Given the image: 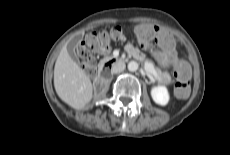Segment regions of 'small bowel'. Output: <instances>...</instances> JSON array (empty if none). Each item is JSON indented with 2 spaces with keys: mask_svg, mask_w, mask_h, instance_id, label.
Instances as JSON below:
<instances>
[{
  "mask_svg": "<svg viewBox=\"0 0 230 155\" xmlns=\"http://www.w3.org/2000/svg\"><path fill=\"white\" fill-rule=\"evenodd\" d=\"M134 34L139 38V42L143 46H150L153 43L162 50V56L166 60H173L177 56V48L175 44V37L168 29H161L157 22H150L148 24L138 23L134 27ZM178 62L175 63V65Z\"/></svg>",
  "mask_w": 230,
  "mask_h": 155,
  "instance_id": "obj_1",
  "label": "small bowel"
}]
</instances>
